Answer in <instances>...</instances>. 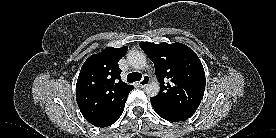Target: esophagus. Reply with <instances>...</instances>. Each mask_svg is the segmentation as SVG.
Returning <instances> with one entry per match:
<instances>
[{
	"label": "esophagus",
	"instance_id": "obj_1",
	"mask_svg": "<svg viewBox=\"0 0 276 138\" xmlns=\"http://www.w3.org/2000/svg\"><path fill=\"white\" fill-rule=\"evenodd\" d=\"M150 79L147 75L143 76V78L138 82V85L141 88H144L148 83H149Z\"/></svg>",
	"mask_w": 276,
	"mask_h": 138
}]
</instances>
